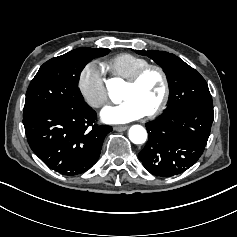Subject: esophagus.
I'll return each mask as SVG.
<instances>
[{"label": "esophagus", "mask_w": 237, "mask_h": 237, "mask_svg": "<svg viewBox=\"0 0 237 237\" xmlns=\"http://www.w3.org/2000/svg\"><path fill=\"white\" fill-rule=\"evenodd\" d=\"M127 129H128L127 125H118V126L113 127V130H115V131H125Z\"/></svg>", "instance_id": "1"}]
</instances>
